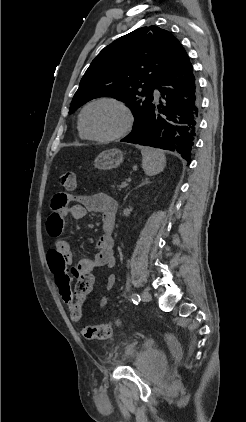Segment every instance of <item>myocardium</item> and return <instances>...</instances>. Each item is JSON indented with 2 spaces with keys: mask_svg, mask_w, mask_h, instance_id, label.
<instances>
[{
  "mask_svg": "<svg viewBox=\"0 0 246 422\" xmlns=\"http://www.w3.org/2000/svg\"><path fill=\"white\" fill-rule=\"evenodd\" d=\"M99 103H112L116 105L117 107H119L121 111L123 112L125 122H124L123 127L117 133L109 135V136H98V135L92 134L87 129L85 125V114L91 106L95 104H99ZM133 123H134V117L129 106L122 100L115 97H110V96L99 97L88 102L81 110V113L79 116V125L84 135L88 139L98 141V142H112V141H116L118 139L123 138L130 132V130L132 129Z\"/></svg>",
  "mask_w": 246,
  "mask_h": 422,
  "instance_id": "myocardium-1",
  "label": "myocardium"
}]
</instances>
